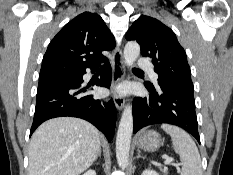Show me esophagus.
<instances>
[{"label":"esophagus","mask_w":233,"mask_h":175,"mask_svg":"<svg viewBox=\"0 0 233 175\" xmlns=\"http://www.w3.org/2000/svg\"><path fill=\"white\" fill-rule=\"evenodd\" d=\"M112 87L115 88L125 76V65L122 55V50L119 46L116 47L112 59ZM113 100L118 110H122L125 104L123 96L114 93Z\"/></svg>","instance_id":"34e87169"}]
</instances>
